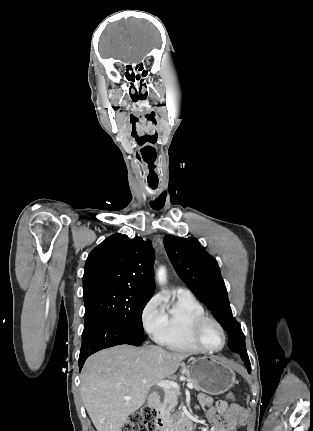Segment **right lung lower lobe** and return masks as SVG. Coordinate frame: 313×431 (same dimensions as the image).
<instances>
[{
  "label": "right lung lower lobe",
  "instance_id": "right-lung-lower-lobe-1",
  "mask_svg": "<svg viewBox=\"0 0 313 431\" xmlns=\"http://www.w3.org/2000/svg\"><path fill=\"white\" fill-rule=\"evenodd\" d=\"M145 340L144 334L137 333L116 321L96 319L84 326L79 369H82L85 360L91 354L99 350L120 344L139 346Z\"/></svg>",
  "mask_w": 313,
  "mask_h": 431
}]
</instances>
